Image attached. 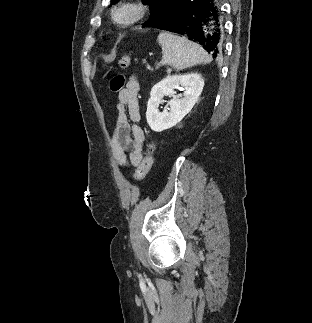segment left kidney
I'll return each instance as SVG.
<instances>
[{
	"mask_svg": "<svg viewBox=\"0 0 312 323\" xmlns=\"http://www.w3.org/2000/svg\"><path fill=\"white\" fill-rule=\"evenodd\" d=\"M204 86L201 74H184V76H167L153 86L147 104L146 120L153 132H163L176 126L196 104ZM183 88L181 96H175L174 90ZM164 96H172L163 112H159V104H163ZM170 106V108H168Z\"/></svg>",
	"mask_w": 312,
	"mask_h": 323,
	"instance_id": "1",
	"label": "left kidney"
}]
</instances>
